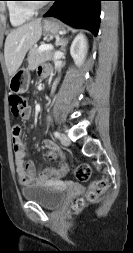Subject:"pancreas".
Instances as JSON below:
<instances>
[{
  "mask_svg": "<svg viewBox=\"0 0 133 253\" xmlns=\"http://www.w3.org/2000/svg\"><path fill=\"white\" fill-rule=\"evenodd\" d=\"M53 53L51 51L39 52L38 48H32L28 56V69L34 70L40 64L52 60Z\"/></svg>",
  "mask_w": 133,
  "mask_h": 253,
  "instance_id": "obj_1",
  "label": "pancreas"
}]
</instances>
